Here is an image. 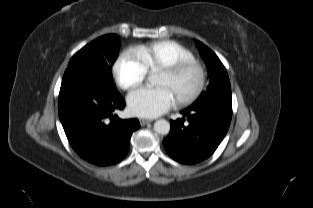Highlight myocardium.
<instances>
[{
  "label": "myocardium",
  "instance_id": "myocardium-1",
  "mask_svg": "<svg viewBox=\"0 0 313 208\" xmlns=\"http://www.w3.org/2000/svg\"><path fill=\"white\" fill-rule=\"evenodd\" d=\"M191 70L196 72L197 80L192 90L182 96L175 98L176 103L181 106L194 102L202 94L207 79L205 67L199 61L191 59L179 61L160 69V72L168 75L171 78H176Z\"/></svg>",
  "mask_w": 313,
  "mask_h": 208
}]
</instances>
